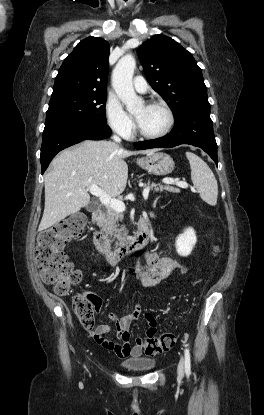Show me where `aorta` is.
Masks as SVG:
<instances>
[{
	"instance_id": "1",
	"label": "aorta",
	"mask_w": 264,
	"mask_h": 415,
	"mask_svg": "<svg viewBox=\"0 0 264 415\" xmlns=\"http://www.w3.org/2000/svg\"><path fill=\"white\" fill-rule=\"evenodd\" d=\"M135 67V58L132 54H126L119 59L112 73L113 88L129 112L136 111L143 103L132 84Z\"/></svg>"
}]
</instances>
